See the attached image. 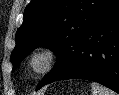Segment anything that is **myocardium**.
<instances>
[{
  "instance_id": "obj_1",
  "label": "myocardium",
  "mask_w": 119,
  "mask_h": 95,
  "mask_svg": "<svg viewBox=\"0 0 119 95\" xmlns=\"http://www.w3.org/2000/svg\"><path fill=\"white\" fill-rule=\"evenodd\" d=\"M58 59V51L52 45H41L36 47L27 60L28 69L37 76L49 74Z\"/></svg>"
}]
</instances>
